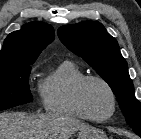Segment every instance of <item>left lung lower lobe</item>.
I'll list each match as a JSON object with an SVG mask.
<instances>
[{
  "label": "left lung lower lobe",
  "mask_w": 141,
  "mask_h": 139,
  "mask_svg": "<svg viewBox=\"0 0 141 139\" xmlns=\"http://www.w3.org/2000/svg\"><path fill=\"white\" fill-rule=\"evenodd\" d=\"M135 133L141 137V132H135Z\"/></svg>",
  "instance_id": "obj_1"
}]
</instances>
